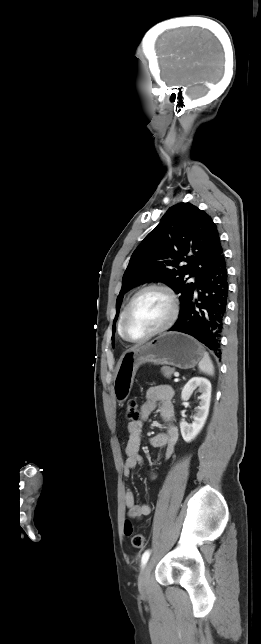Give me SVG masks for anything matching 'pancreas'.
<instances>
[{"instance_id":"pancreas-1","label":"pancreas","mask_w":261,"mask_h":644,"mask_svg":"<svg viewBox=\"0 0 261 644\" xmlns=\"http://www.w3.org/2000/svg\"><path fill=\"white\" fill-rule=\"evenodd\" d=\"M161 372L166 378H171V375L175 372V370L170 367H163L161 369Z\"/></svg>"}]
</instances>
